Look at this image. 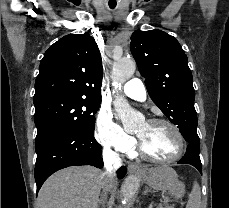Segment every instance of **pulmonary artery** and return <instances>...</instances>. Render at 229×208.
Returning a JSON list of instances; mask_svg holds the SVG:
<instances>
[{"instance_id": "pulmonary-artery-1", "label": "pulmonary artery", "mask_w": 229, "mask_h": 208, "mask_svg": "<svg viewBox=\"0 0 229 208\" xmlns=\"http://www.w3.org/2000/svg\"><path fill=\"white\" fill-rule=\"evenodd\" d=\"M124 93L137 101H145L146 89L144 83L139 78H129L123 86Z\"/></svg>"}]
</instances>
